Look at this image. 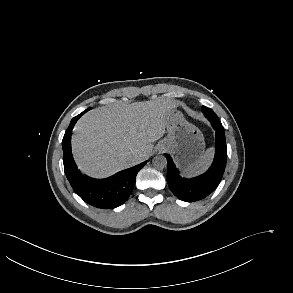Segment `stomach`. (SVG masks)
<instances>
[{
  "label": "stomach",
  "instance_id": "0dacf381",
  "mask_svg": "<svg viewBox=\"0 0 293 293\" xmlns=\"http://www.w3.org/2000/svg\"><path fill=\"white\" fill-rule=\"evenodd\" d=\"M167 137L159 143V149L172 153L179 167L186 169L204 153L202 132L185 120L182 113L172 111L166 115Z\"/></svg>",
  "mask_w": 293,
  "mask_h": 293
}]
</instances>
